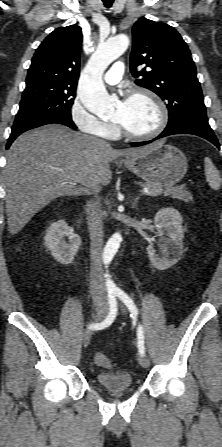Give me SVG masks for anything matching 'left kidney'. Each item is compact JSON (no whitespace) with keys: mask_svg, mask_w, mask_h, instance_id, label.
Here are the masks:
<instances>
[{"mask_svg":"<svg viewBox=\"0 0 222 447\" xmlns=\"http://www.w3.org/2000/svg\"><path fill=\"white\" fill-rule=\"evenodd\" d=\"M182 216L174 208L160 209L154 223L160 236L162 256L156 254L153 245L147 247V254L151 264L158 270H166L175 265L183 253L184 228L182 226Z\"/></svg>","mask_w":222,"mask_h":447,"instance_id":"obj_1","label":"left kidney"}]
</instances>
